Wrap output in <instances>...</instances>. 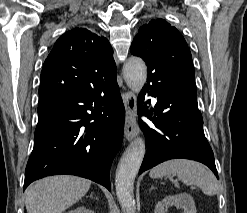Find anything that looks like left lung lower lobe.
Wrapping results in <instances>:
<instances>
[{
	"mask_svg": "<svg viewBox=\"0 0 247 213\" xmlns=\"http://www.w3.org/2000/svg\"><path fill=\"white\" fill-rule=\"evenodd\" d=\"M147 81L138 98V113L149 118L155 128L140 122L147 151L139 174L163 161L185 158L207 165L218 178L213 151L203 131L197 92L179 79L169 83L154 78ZM146 92L157 99L154 109L146 106L150 100L142 106Z\"/></svg>",
	"mask_w": 247,
	"mask_h": 213,
	"instance_id": "left-lung-lower-lobe-1",
	"label": "left lung lower lobe"
}]
</instances>
